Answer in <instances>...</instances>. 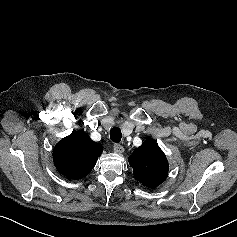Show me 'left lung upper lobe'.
I'll return each mask as SVG.
<instances>
[{"label": "left lung upper lobe", "instance_id": "5c2ea615", "mask_svg": "<svg viewBox=\"0 0 237 237\" xmlns=\"http://www.w3.org/2000/svg\"><path fill=\"white\" fill-rule=\"evenodd\" d=\"M129 163L135 178L151 189L161 184L168 174L165 154L152 139L145 140L134 150L129 157Z\"/></svg>", "mask_w": 237, "mask_h": 237}]
</instances>
